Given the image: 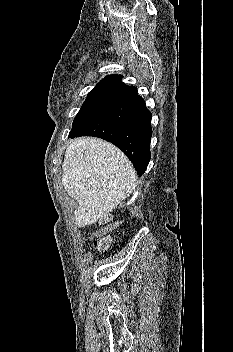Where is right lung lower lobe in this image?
Wrapping results in <instances>:
<instances>
[{
	"mask_svg": "<svg viewBox=\"0 0 233 352\" xmlns=\"http://www.w3.org/2000/svg\"><path fill=\"white\" fill-rule=\"evenodd\" d=\"M94 136L111 142L130 159L139 176L149 160L152 136L151 112L138 94L112 106L69 137Z\"/></svg>",
	"mask_w": 233,
	"mask_h": 352,
	"instance_id": "obj_1",
	"label": "right lung lower lobe"
}]
</instances>
